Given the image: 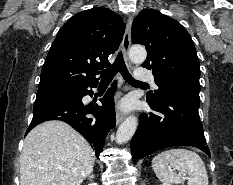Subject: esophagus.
<instances>
[{
  "instance_id": "1",
  "label": "esophagus",
  "mask_w": 233,
  "mask_h": 185,
  "mask_svg": "<svg viewBox=\"0 0 233 185\" xmlns=\"http://www.w3.org/2000/svg\"><path fill=\"white\" fill-rule=\"evenodd\" d=\"M132 21H133V18L130 16L127 20V23H126V30H125V34H124V38H123V42H122V52H123L124 60H125L127 67H131V62L128 58V50H129L130 44H131ZM124 118H125L124 114H122L121 112H117L116 124L117 125L120 124L124 120Z\"/></svg>"
}]
</instances>
